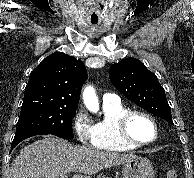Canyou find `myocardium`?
Segmentation results:
<instances>
[{
    "instance_id": "obj_1",
    "label": "myocardium",
    "mask_w": 194,
    "mask_h": 178,
    "mask_svg": "<svg viewBox=\"0 0 194 178\" xmlns=\"http://www.w3.org/2000/svg\"><path fill=\"white\" fill-rule=\"evenodd\" d=\"M135 115L143 116L144 118L148 119L153 125L155 130V135L151 141L139 142L131 137L128 130V124L130 119ZM116 130H117L118 137L122 142L134 147L149 146L155 143L159 138V126L156 119L148 112L143 110H138V109H129V110H126L124 113H122L116 120Z\"/></svg>"
}]
</instances>
